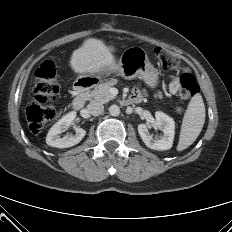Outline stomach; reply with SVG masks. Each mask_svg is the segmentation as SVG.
Listing matches in <instances>:
<instances>
[{"mask_svg":"<svg viewBox=\"0 0 232 232\" xmlns=\"http://www.w3.org/2000/svg\"><path fill=\"white\" fill-rule=\"evenodd\" d=\"M115 71L118 75L132 79L134 77L141 78L149 87L154 88L158 84V70L149 62L146 51L141 47H131L126 49L116 66V69L104 72L109 74ZM95 78L91 75H81L78 81H92Z\"/></svg>","mask_w":232,"mask_h":232,"instance_id":"1","label":"stomach"}]
</instances>
